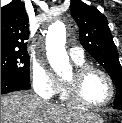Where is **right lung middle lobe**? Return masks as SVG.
I'll list each match as a JSON object with an SVG mask.
<instances>
[{
  "instance_id": "right-lung-middle-lobe-1",
  "label": "right lung middle lobe",
  "mask_w": 122,
  "mask_h": 123,
  "mask_svg": "<svg viewBox=\"0 0 122 123\" xmlns=\"http://www.w3.org/2000/svg\"><path fill=\"white\" fill-rule=\"evenodd\" d=\"M29 60L27 52L1 51V73L29 81Z\"/></svg>"
}]
</instances>
